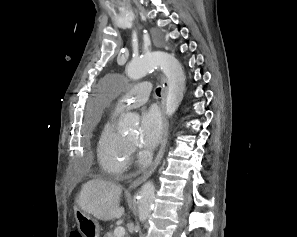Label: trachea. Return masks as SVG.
<instances>
[{
    "label": "trachea",
    "mask_w": 297,
    "mask_h": 237,
    "mask_svg": "<svg viewBox=\"0 0 297 237\" xmlns=\"http://www.w3.org/2000/svg\"><path fill=\"white\" fill-rule=\"evenodd\" d=\"M160 93H161V88H157V89H156V94H157L158 96H160Z\"/></svg>",
    "instance_id": "3493384b"
}]
</instances>
